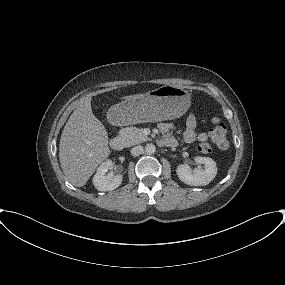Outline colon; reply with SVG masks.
<instances>
[{
  "instance_id": "5ec220e1",
  "label": "colon",
  "mask_w": 285,
  "mask_h": 285,
  "mask_svg": "<svg viewBox=\"0 0 285 285\" xmlns=\"http://www.w3.org/2000/svg\"><path fill=\"white\" fill-rule=\"evenodd\" d=\"M213 128L210 131V138L214 145L220 149L225 150L228 148L229 142L227 138L226 126L217 118L213 119ZM201 153L207 154L211 152V147L207 143H203L199 146Z\"/></svg>"
}]
</instances>
